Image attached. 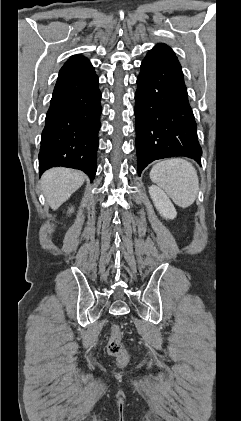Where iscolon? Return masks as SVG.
<instances>
[{"label":"colon","mask_w":241,"mask_h":421,"mask_svg":"<svg viewBox=\"0 0 241 421\" xmlns=\"http://www.w3.org/2000/svg\"><path fill=\"white\" fill-rule=\"evenodd\" d=\"M107 351L121 364H124L128 359L127 351L122 342L121 328L118 324L112 326L111 336L107 344Z\"/></svg>","instance_id":"1"}]
</instances>
